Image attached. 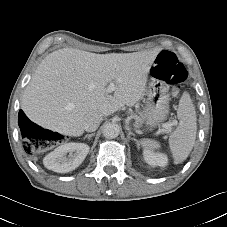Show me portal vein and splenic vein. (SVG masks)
Segmentation results:
<instances>
[{
    "label": "portal vein and splenic vein",
    "mask_w": 227,
    "mask_h": 227,
    "mask_svg": "<svg viewBox=\"0 0 227 227\" xmlns=\"http://www.w3.org/2000/svg\"><path fill=\"white\" fill-rule=\"evenodd\" d=\"M115 90V84L113 83V82H111L110 84H109V86L107 87V92L108 93H112L113 91ZM177 124V122L176 121H174V122H171V123H164L163 124V129L162 130H165V131H167L168 133H170L171 132V130H172V125H176Z\"/></svg>",
    "instance_id": "obj_1"
}]
</instances>
